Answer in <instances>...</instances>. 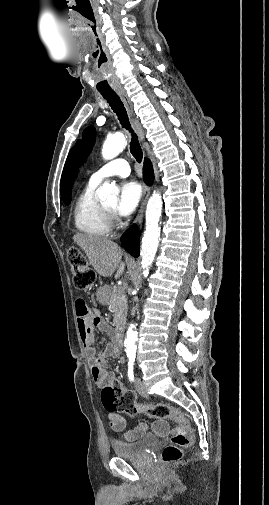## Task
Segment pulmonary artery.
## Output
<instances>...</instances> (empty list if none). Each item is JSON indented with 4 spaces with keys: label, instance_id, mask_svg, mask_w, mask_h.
<instances>
[{
    "label": "pulmonary artery",
    "instance_id": "obj_1",
    "mask_svg": "<svg viewBox=\"0 0 269 505\" xmlns=\"http://www.w3.org/2000/svg\"><path fill=\"white\" fill-rule=\"evenodd\" d=\"M130 174V167L127 160L123 158L114 159L102 167H100L97 171H95L91 177L90 181L95 184L101 183L104 179L112 177V176H120L126 177Z\"/></svg>",
    "mask_w": 269,
    "mask_h": 505
}]
</instances>
